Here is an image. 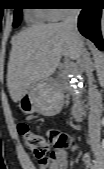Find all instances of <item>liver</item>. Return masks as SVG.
<instances>
[{
  "label": "liver",
  "mask_w": 104,
  "mask_h": 169,
  "mask_svg": "<svg viewBox=\"0 0 104 169\" xmlns=\"http://www.w3.org/2000/svg\"><path fill=\"white\" fill-rule=\"evenodd\" d=\"M62 56L72 60L81 56L76 39L62 23L33 25L16 35L7 70L12 100L18 102L28 86L48 79Z\"/></svg>",
  "instance_id": "1"
}]
</instances>
